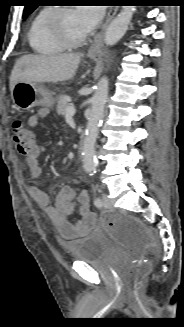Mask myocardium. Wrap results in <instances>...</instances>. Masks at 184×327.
<instances>
[{
  "instance_id": "myocardium-1",
  "label": "myocardium",
  "mask_w": 184,
  "mask_h": 327,
  "mask_svg": "<svg viewBox=\"0 0 184 327\" xmlns=\"http://www.w3.org/2000/svg\"><path fill=\"white\" fill-rule=\"evenodd\" d=\"M71 10H73L71 7L54 8L48 18V29L50 33L67 48L81 46L88 40V34L74 39L65 32L63 27V16Z\"/></svg>"
}]
</instances>
